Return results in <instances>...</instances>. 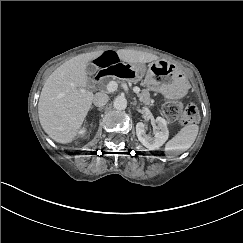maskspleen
<instances>
[{
  "label": "spleen",
  "instance_id": "1",
  "mask_svg": "<svg viewBox=\"0 0 243 243\" xmlns=\"http://www.w3.org/2000/svg\"><path fill=\"white\" fill-rule=\"evenodd\" d=\"M198 131L199 126L196 124L183 127L171 140L167 142L165 151L167 153L173 151H186L195 142Z\"/></svg>",
  "mask_w": 243,
  "mask_h": 243
}]
</instances>
